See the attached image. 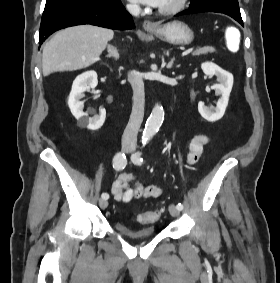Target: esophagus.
Segmentation results:
<instances>
[{"mask_svg": "<svg viewBox=\"0 0 280 283\" xmlns=\"http://www.w3.org/2000/svg\"><path fill=\"white\" fill-rule=\"evenodd\" d=\"M143 28L147 31L156 30L158 28L157 24L153 23L150 20H145L143 23Z\"/></svg>", "mask_w": 280, "mask_h": 283, "instance_id": "esophagus-1", "label": "esophagus"}]
</instances>
